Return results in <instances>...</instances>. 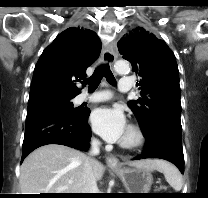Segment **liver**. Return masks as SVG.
Wrapping results in <instances>:
<instances>
[{
	"mask_svg": "<svg viewBox=\"0 0 208 198\" xmlns=\"http://www.w3.org/2000/svg\"><path fill=\"white\" fill-rule=\"evenodd\" d=\"M85 158L84 153L64 145L49 144L36 149L21 165V194L81 193ZM129 165L154 171L160 170L161 161L147 159L129 162ZM93 172L96 180H100L103 164L95 160Z\"/></svg>",
	"mask_w": 208,
	"mask_h": 198,
	"instance_id": "6515ba94",
	"label": "liver"
}]
</instances>
